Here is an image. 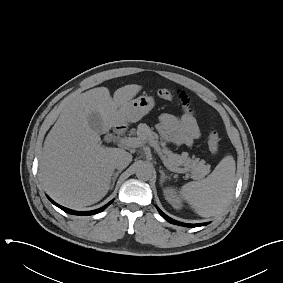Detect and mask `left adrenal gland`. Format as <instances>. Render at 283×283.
Instances as JSON below:
<instances>
[{
  "mask_svg": "<svg viewBox=\"0 0 283 283\" xmlns=\"http://www.w3.org/2000/svg\"><path fill=\"white\" fill-rule=\"evenodd\" d=\"M159 172H160V174H161L160 184L162 185L163 182L165 181V179H170V177L167 176L163 170H159Z\"/></svg>",
  "mask_w": 283,
  "mask_h": 283,
  "instance_id": "left-adrenal-gland-1",
  "label": "left adrenal gland"
}]
</instances>
